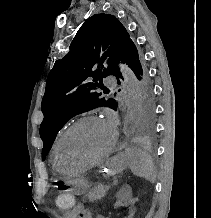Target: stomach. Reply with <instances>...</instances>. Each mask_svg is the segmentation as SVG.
I'll return each instance as SVG.
<instances>
[{"label":"stomach","instance_id":"1","mask_svg":"<svg viewBox=\"0 0 211 218\" xmlns=\"http://www.w3.org/2000/svg\"><path fill=\"white\" fill-rule=\"evenodd\" d=\"M128 164L127 155L123 153L117 154L106 162L103 173H105L106 176H114L123 171ZM66 183L70 186L71 192L76 195L85 194L90 187L88 181L81 177L68 178Z\"/></svg>","mask_w":211,"mask_h":218}]
</instances>
